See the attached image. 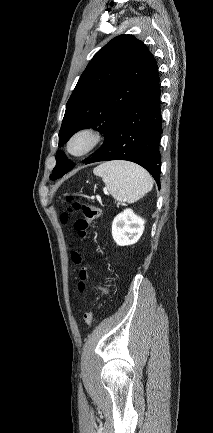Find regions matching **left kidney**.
Wrapping results in <instances>:
<instances>
[{"instance_id": "1", "label": "left kidney", "mask_w": 213, "mask_h": 433, "mask_svg": "<svg viewBox=\"0 0 213 433\" xmlns=\"http://www.w3.org/2000/svg\"><path fill=\"white\" fill-rule=\"evenodd\" d=\"M144 223L130 208L118 214L112 223V237L116 244L128 246L137 243L143 234Z\"/></svg>"}]
</instances>
